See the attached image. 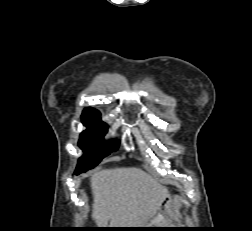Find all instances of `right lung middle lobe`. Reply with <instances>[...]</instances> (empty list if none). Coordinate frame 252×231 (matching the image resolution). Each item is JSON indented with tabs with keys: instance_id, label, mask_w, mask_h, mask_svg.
<instances>
[{
	"instance_id": "1",
	"label": "right lung middle lobe",
	"mask_w": 252,
	"mask_h": 231,
	"mask_svg": "<svg viewBox=\"0 0 252 231\" xmlns=\"http://www.w3.org/2000/svg\"><path fill=\"white\" fill-rule=\"evenodd\" d=\"M82 123L87 127L80 135L79 147L84 155L79 159L76 171L85 172L95 167L110 152L118 149L119 141H104L108 125L101 121L100 115H82ZM104 146V148H100Z\"/></svg>"
}]
</instances>
